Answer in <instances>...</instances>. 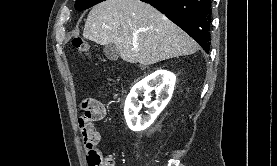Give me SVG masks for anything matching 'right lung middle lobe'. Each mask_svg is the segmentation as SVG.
I'll list each match as a JSON object with an SVG mask.
<instances>
[{
  "mask_svg": "<svg viewBox=\"0 0 277 166\" xmlns=\"http://www.w3.org/2000/svg\"><path fill=\"white\" fill-rule=\"evenodd\" d=\"M104 0H77L75 3V9L78 11L86 10Z\"/></svg>",
  "mask_w": 277,
  "mask_h": 166,
  "instance_id": "obj_1",
  "label": "right lung middle lobe"
}]
</instances>
